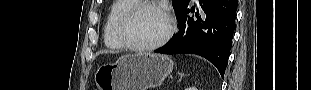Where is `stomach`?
I'll list each match as a JSON object with an SVG mask.
<instances>
[{
    "mask_svg": "<svg viewBox=\"0 0 311 90\" xmlns=\"http://www.w3.org/2000/svg\"><path fill=\"white\" fill-rule=\"evenodd\" d=\"M172 70L169 57L141 52L99 67L95 83L97 90H148L160 86Z\"/></svg>",
    "mask_w": 311,
    "mask_h": 90,
    "instance_id": "1",
    "label": "stomach"
}]
</instances>
